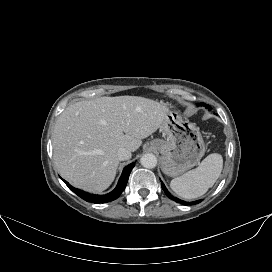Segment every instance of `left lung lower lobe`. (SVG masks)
Returning a JSON list of instances; mask_svg holds the SVG:
<instances>
[{"mask_svg":"<svg viewBox=\"0 0 272 272\" xmlns=\"http://www.w3.org/2000/svg\"><path fill=\"white\" fill-rule=\"evenodd\" d=\"M161 185H162V188H163L165 194H166L170 199L174 200V201L177 202V203H181V204H183V205H193V204H197V203L201 202V200H198V201H195V202H184V201H182V200H179V199L173 197V196L167 191V189H166V187H165V185H164L163 183H161Z\"/></svg>","mask_w":272,"mask_h":272,"instance_id":"obj_1","label":"left lung lower lobe"}]
</instances>
